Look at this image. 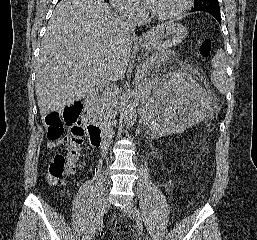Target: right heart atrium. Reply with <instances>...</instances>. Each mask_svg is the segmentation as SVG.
I'll return each instance as SVG.
<instances>
[{
  "label": "right heart atrium",
  "instance_id": "right-heart-atrium-1",
  "mask_svg": "<svg viewBox=\"0 0 257 240\" xmlns=\"http://www.w3.org/2000/svg\"><path fill=\"white\" fill-rule=\"evenodd\" d=\"M113 7L122 16L140 22L145 16V10L139 0H110Z\"/></svg>",
  "mask_w": 257,
  "mask_h": 240
}]
</instances>
